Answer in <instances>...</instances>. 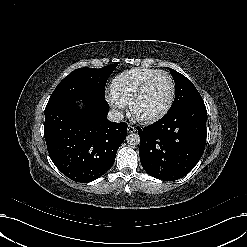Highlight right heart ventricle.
I'll return each instance as SVG.
<instances>
[{"instance_id": "right-heart-ventricle-1", "label": "right heart ventricle", "mask_w": 247, "mask_h": 247, "mask_svg": "<svg viewBox=\"0 0 247 247\" xmlns=\"http://www.w3.org/2000/svg\"><path fill=\"white\" fill-rule=\"evenodd\" d=\"M159 70L147 67H136L116 76L111 84V95L126 104L139 87Z\"/></svg>"}]
</instances>
